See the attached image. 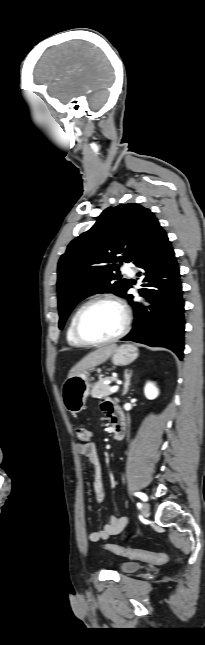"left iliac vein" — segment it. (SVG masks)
<instances>
[{
	"mask_svg": "<svg viewBox=\"0 0 205 645\" xmlns=\"http://www.w3.org/2000/svg\"><path fill=\"white\" fill-rule=\"evenodd\" d=\"M141 512L144 516L148 515L150 512V506L147 502H144L141 507Z\"/></svg>",
	"mask_w": 205,
	"mask_h": 645,
	"instance_id": "obj_1",
	"label": "left iliac vein"
}]
</instances>
